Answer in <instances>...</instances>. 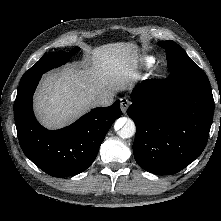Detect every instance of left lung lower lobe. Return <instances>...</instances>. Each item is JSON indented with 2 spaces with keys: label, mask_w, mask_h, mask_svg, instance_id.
I'll list each match as a JSON object with an SVG mask.
<instances>
[{
  "label": "left lung lower lobe",
  "mask_w": 221,
  "mask_h": 221,
  "mask_svg": "<svg viewBox=\"0 0 221 221\" xmlns=\"http://www.w3.org/2000/svg\"><path fill=\"white\" fill-rule=\"evenodd\" d=\"M132 100L127 114L136 125L133 153L141 168L172 175L202 153L214 113L210 82L202 70L145 80L132 91Z\"/></svg>",
  "instance_id": "1"
}]
</instances>
